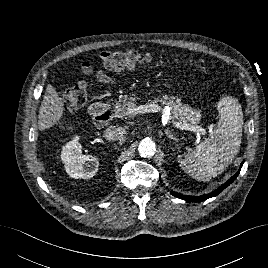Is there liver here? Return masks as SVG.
Listing matches in <instances>:
<instances>
[{
  "instance_id": "liver-1",
  "label": "liver",
  "mask_w": 268,
  "mask_h": 268,
  "mask_svg": "<svg viewBox=\"0 0 268 268\" xmlns=\"http://www.w3.org/2000/svg\"><path fill=\"white\" fill-rule=\"evenodd\" d=\"M65 112L62 99L55 88L48 85L46 88L41 107L38 114V128L43 131L49 129L62 118Z\"/></svg>"
}]
</instances>
